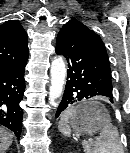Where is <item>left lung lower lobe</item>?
<instances>
[{
  "label": "left lung lower lobe",
  "instance_id": "obj_1",
  "mask_svg": "<svg viewBox=\"0 0 130 153\" xmlns=\"http://www.w3.org/2000/svg\"><path fill=\"white\" fill-rule=\"evenodd\" d=\"M56 53L68 61L67 83L56 117L82 98L102 96L113 103L109 60L85 40L59 32Z\"/></svg>",
  "mask_w": 130,
  "mask_h": 153
}]
</instances>
